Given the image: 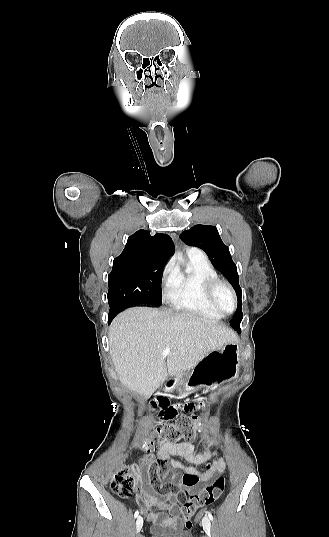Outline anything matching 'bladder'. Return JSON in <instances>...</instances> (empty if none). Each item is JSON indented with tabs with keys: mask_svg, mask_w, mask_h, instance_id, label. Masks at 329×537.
<instances>
[{
	"mask_svg": "<svg viewBox=\"0 0 329 537\" xmlns=\"http://www.w3.org/2000/svg\"><path fill=\"white\" fill-rule=\"evenodd\" d=\"M151 537H194L190 531H173L165 530L160 532H153Z\"/></svg>",
	"mask_w": 329,
	"mask_h": 537,
	"instance_id": "obj_1",
	"label": "bladder"
}]
</instances>
